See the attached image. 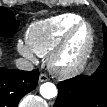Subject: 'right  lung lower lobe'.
<instances>
[{
    "mask_svg": "<svg viewBox=\"0 0 107 107\" xmlns=\"http://www.w3.org/2000/svg\"><path fill=\"white\" fill-rule=\"evenodd\" d=\"M39 71L0 68V107H17L20 99L35 89Z\"/></svg>",
    "mask_w": 107,
    "mask_h": 107,
    "instance_id": "1",
    "label": "right lung lower lobe"
}]
</instances>
